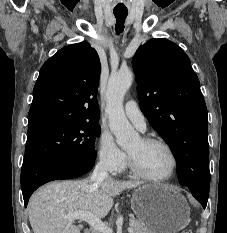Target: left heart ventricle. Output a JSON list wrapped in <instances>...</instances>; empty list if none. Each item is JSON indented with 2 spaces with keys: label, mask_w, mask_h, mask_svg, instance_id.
Here are the masks:
<instances>
[{
  "label": "left heart ventricle",
  "mask_w": 227,
  "mask_h": 233,
  "mask_svg": "<svg viewBox=\"0 0 227 233\" xmlns=\"http://www.w3.org/2000/svg\"><path fill=\"white\" fill-rule=\"evenodd\" d=\"M128 153L134 158L138 166L152 176H165L172 168L169 152L158 144H145L141 139L135 141Z\"/></svg>",
  "instance_id": "obj_1"
}]
</instances>
